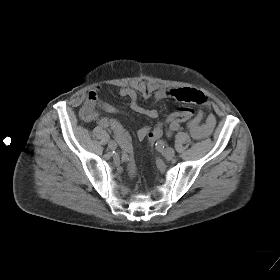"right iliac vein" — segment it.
Returning a JSON list of instances; mask_svg holds the SVG:
<instances>
[{"label":"right iliac vein","mask_w":280,"mask_h":280,"mask_svg":"<svg viewBox=\"0 0 280 280\" xmlns=\"http://www.w3.org/2000/svg\"><path fill=\"white\" fill-rule=\"evenodd\" d=\"M108 148L110 150H115L117 148V143L115 141H113V140L109 141Z\"/></svg>","instance_id":"right-iliac-vein-1"}]
</instances>
